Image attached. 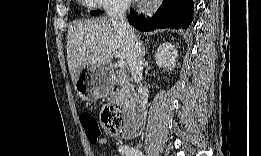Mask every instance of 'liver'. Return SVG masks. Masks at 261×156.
<instances>
[{
    "instance_id": "obj_1",
    "label": "liver",
    "mask_w": 261,
    "mask_h": 156,
    "mask_svg": "<svg viewBox=\"0 0 261 156\" xmlns=\"http://www.w3.org/2000/svg\"><path fill=\"white\" fill-rule=\"evenodd\" d=\"M113 57L126 59L125 39L109 18L78 21L67 34V62L75 85L83 68L108 65Z\"/></svg>"
}]
</instances>
